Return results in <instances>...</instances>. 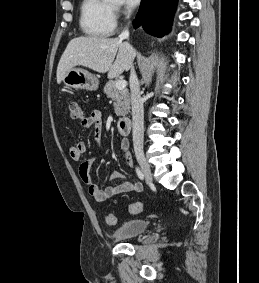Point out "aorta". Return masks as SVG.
Instances as JSON below:
<instances>
[{
	"mask_svg": "<svg viewBox=\"0 0 259 283\" xmlns=\"http://www.w3.org/2000/svg\"><path fill=\"white\" fill-rule=\"evenodd\" d=\"M106 2H122L123 0H105Z\"/></svg>",
	"mask_w": 259,
	"mask_h": 283,
	"instance_id": "1",
	"label": "aorta"
}]
</instances>
